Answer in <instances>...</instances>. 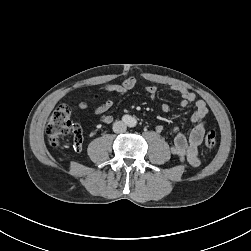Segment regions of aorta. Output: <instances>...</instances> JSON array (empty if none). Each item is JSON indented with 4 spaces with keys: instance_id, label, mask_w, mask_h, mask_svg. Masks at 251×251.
Here are the masks:
<instances>
[{
    "instance_id": "obj_1",
    "label": "aorta",
    "mask_w": 251,
    "mask_h": 251,
    "mask_svg": "<svg viewBox=\"0 0 251 251\" xmlns=\"http://www.w3.org/2000/svg\"><path fill=\"white\" fill-rule=\"evenodd\" d=\"M129 125L130 126H135L136 125V119L131 117L130 120H129Z\"/></svg>"
}]
</instances>
